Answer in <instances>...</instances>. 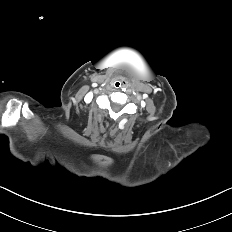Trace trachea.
I'll return each instance as SVG.
<instances>
[{"label":"trachea","instance_id":"trachea-1","mask_svg":"<svg viewBox=\"0 0 232 232\" xmlns=\"http://www.w3.org/2000/svg\"><path fill=\"white\" fill-rule=\"evenodd\" d=\"M122 86H123V84H122V82L119 81V80H116V81L113 82V87H114L115 89H120V88H122Z\"/></svg>","mask_w":232,"mask_h":232}]
</instances>
